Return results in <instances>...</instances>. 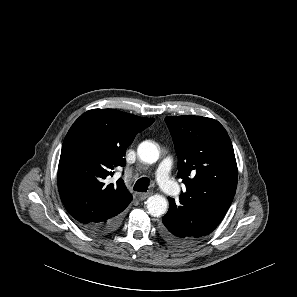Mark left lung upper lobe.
Returning <instances> with one entry per match:
<instances>
[{"label":"left lung upper lobe","instance_id":"obj_1","mask_svg":"<svg viewBox=\"0 0 297 297\" xmlns=\"http://www.w3.org/2000/svg\"><path fill=\"white\" fill-rule=\"evenodd\" d=\"M186 191L177 203L186 234L195 241L221 222L234 198L238 170L231 140L216 120L201 116L165 118ZM175 201V200H174Z\"/></svg>","mask_w":297,"mask_h":297}]
</instances>
